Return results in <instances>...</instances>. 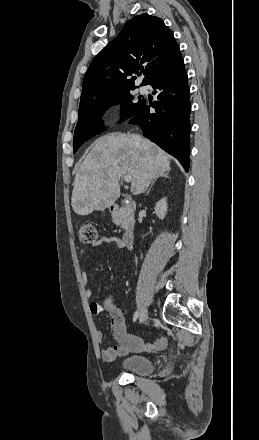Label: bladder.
<instances>
[{
    "mask_svg": "<svg viewBox=\"0 0 259 440\" xmlns=\"http://www.w3.org/2000/svg\"><path fill=\"white\" fill-rule=\"evenodd\" d=\"M155 368L154 361L144 354H131L120 362L122 371L138 376L150 375Z\"/></svg>",
    "mask_w": 259,
    "mask_h": 440,
    "instance_id": "bladder-1",
    "label": "bladder"
}]
</instances>
